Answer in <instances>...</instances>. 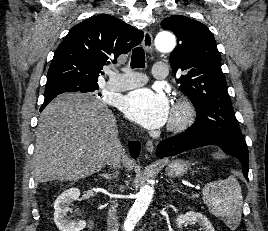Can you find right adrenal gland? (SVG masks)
Here are the masks:
<instances>
[{"instance_id":"right-adrenal-gland-1","label":"right adrenal gland","mask_w":268,"mask_h":231,"mask_svg":"<svg viewBox=\"0 0 268 231\" xmlns=\"http://www.w3.org/2000/svg\"><path fill=\"white\" fill-rule=\"evenodd\" d=\"M100 176H102L106 180H112L113 178H115L117 176V171L114 172L113 176L111 174H108V173L100 174Z\"/></svg>"}]
</instances>
